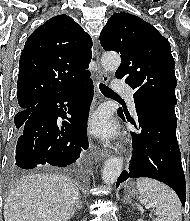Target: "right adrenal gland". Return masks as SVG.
I'll return each mask as SVG.
<instances>
[{
  "label": "right adrenal gland",
  "instance_id": "obj_1",
  "mask_svg": "<svg viewBox=\"0 0 190 221\" xmlns=\"http://www.w3.org/2000/svg\"><path fill=\"white\" fill-rule=\"evenodd\" d=\"M81 207H82L81 197L78 196V199H77V201H76V204H75V206H74V208H73V211H72V213H71V217H73L74 214H75V212H76L77 210H80Z\"/></svg>",
  "mask_w": 190,
  "mask_h": 221
}]
</instances>
